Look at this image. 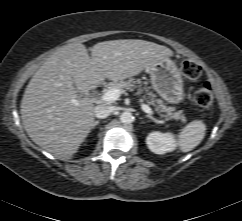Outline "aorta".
<instances>
[{"label": "aorta", "instance_id": "aorta-1", "mask_svg": "<svg viewBox=\"0 0 242 221\" xmlns=\"http://www.w3.org/2000/svg\"><path fill=\"white\" fill-rule=\"evenodd\" d=\"M120 121L124 124H129L133 121V116L130 112L125 111L120 115Z\"/></svg>", "mask_w": 242, "mask_h": 221}]
</instances>
